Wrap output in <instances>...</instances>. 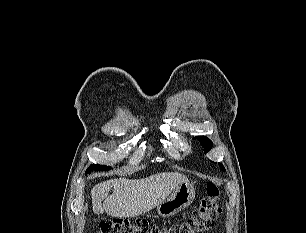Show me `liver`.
I'll use <instances>...</instances> for the list:
<instances>
[{"label": "liver", "mask_w": 306, "mask_h": 233, "mask_svg": "<svg viewBox=\"0 0 306 233\" xmlns=\"http://www.w3.org/2000/svg\"><path fill=\"white\" fill-rule=\"evenodd\" d=\"M188 178L177 172H165L144 179H111L91 190L93 212H106L117 218H132L149 212L163 202L173 190ZM114 189L111 195L109 191ZM102 201H104L102 203Z\"/></svg>", "instance_id": "liver-1"}]
</instances>
